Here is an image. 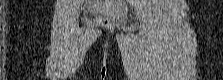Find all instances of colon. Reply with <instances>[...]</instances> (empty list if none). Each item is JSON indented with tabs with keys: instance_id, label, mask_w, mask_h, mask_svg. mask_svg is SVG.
<instances>
[{
	"instance_id": "5ec220e1",
	"label": "colon",
	"mask_w": 223,
	"mask_h": 80,
	"mask_svg": "<svg viewBox=\"0 0 223 80\" xmlns=\"http://www.w3.org/2000/svg\"><path fill=\"white\" fill-rule=\"evenodd\" d=\"M99 23L104 26H112L115 24V20L110 17H100Z\"/></svg>"
}]
</instances>
